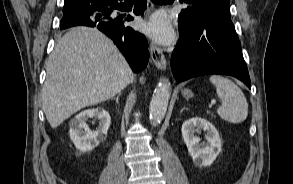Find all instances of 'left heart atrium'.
<instances>
[{
	"label": "left heart atrium",
	"mask_w": 293,
	"mask_h": 184,
	"mask_svg": "<svg viewBox=\"0 0 293 184\" xmlns=\"http://www.w3.org/2000/svg\"><path fill=\"white\" fill-rule=\"evenodd\" d=\"M145 31L160 42H168L172 38V30L164 16L153 17L144 27Z\"/></svg>",
	"instance_id": "left-heart-atrium-1"
}]
</instances>
